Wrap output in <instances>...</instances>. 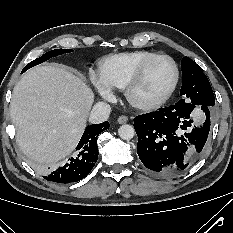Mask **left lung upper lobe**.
Wrapping results in <instances>:
<instances>
[{
  "instance_id": "1",
  "label": "left lung upper lobe",
  "mask_w": 233,
  "mask_h": 233,
  "mask_svg": "<svg viewBox=\"0 0 233 233\" xmlns=\"http://www.w3.org/2000/svg\"><path fill=\"white\" fill-rule=\"evenodd\" d=\"M181 67L183 82L180 95L190 99L189 103L194 105L214 106V94L202 69L187 56L182 59Z\"/></svg>"
}]
</instances>
